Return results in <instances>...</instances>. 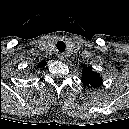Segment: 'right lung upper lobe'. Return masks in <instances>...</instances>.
<instances>
[{
	"mask_svg": "<svg viewBox=\"0 0 129 129\" xmlns=\"http://www.w3.org/2000/svg\"><path fill=\"white\" fill-rule=\"evenodd\" d=\"M44 65H45V62L42 61V62L40 63V66H44Z\"/></svg>",
	"mask_w": 129,
	"mask_h": 129,
	"instance_id": "right-lung-upper-lobe-1",
	"label": "right lung upper lobe"
}]
</instances>
